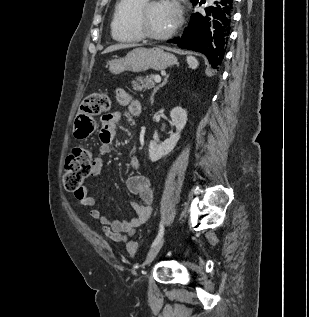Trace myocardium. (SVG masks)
<instances>
[{"label": "myocardium", "mask_w": 309, "mask_h": 317, "mask_svg": "<svg viewBox=\"0 0 309 317\" xmlns=\"http://www.w3.org/2000/svg\"><path fill=\"white\" fill-rule=\"evenodd\" d=\"M159 2H161V1H159V0H146L143 4H141L139 6V8L137 10L136 18H135V25H136L137 30L141 34L142 38H146L149 40H157V41L166 40L176 33V31L178 30V28L181 24V20L177 19V22L175 23V25L168 32H166L164 34H154V33L150 32L146 26V15L152 6L159 3Z\"/></svg>", "instance_id": "f54148a6"}]
</instances>
